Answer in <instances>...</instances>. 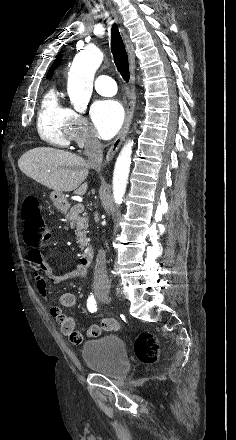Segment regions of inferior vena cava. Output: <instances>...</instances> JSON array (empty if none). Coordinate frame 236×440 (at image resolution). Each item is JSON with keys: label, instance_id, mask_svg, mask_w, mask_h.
I'll return each mask as SVG.
<instances>
[{"label": "inferior vena cava", "instance_id": "inferior-vena-cava-1", "mask_svg": "<svg viewBox=\"0 0 236 440\" xmlns=\"http://www.w3.org/2000/svg\"><path fill=\"white\" fill-rule=\"evenodd\" d=\"M85 154L88 156V165L100 171L103 160V145L96 137H91L85 145ZM110 280L107 276L106 257L104 250H99L94 268L93 287L94 289L110 288Z\"/></svg>", "mask_w": 236, "mask_h": 440}]
</instances>
